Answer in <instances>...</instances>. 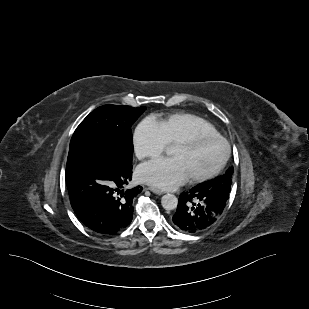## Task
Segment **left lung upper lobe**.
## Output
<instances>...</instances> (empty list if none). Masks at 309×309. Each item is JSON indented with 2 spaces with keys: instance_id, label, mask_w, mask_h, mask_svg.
Instances as JSON below:
<instances>
[{
  "instance_id": "5c2ea615",
  "label": "left lung upper lobe",
  "mask_w": 309,
  "mask_h": 309,
  "mask_svg": "<svg viewBox=\"0 0 309 309\" xmlns=\"http://www.w3.org/2000/svg\"><path fill=\"white\" fill-rule=\"evenodd\" d=\"M233 171V167H230L223 176L204 182L201 185L209 190L229 193L232 183L231 178Z\"/></svg>"
}]
</instances>
